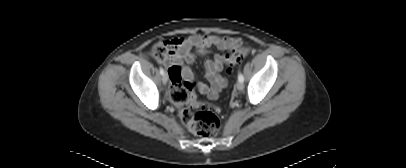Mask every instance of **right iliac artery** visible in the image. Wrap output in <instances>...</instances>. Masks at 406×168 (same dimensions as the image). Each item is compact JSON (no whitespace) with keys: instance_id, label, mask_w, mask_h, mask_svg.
I'll return each mask as SVG.
<instances>
[{"instance_id":"right-iliac-artery-1","label":"right iliac artery","mask_w":406,"mask_h":168,"mask_svg":"<svg viewBox=\"0 0 406 168\" xmlns=\"http://www.w3.org/2000/svg\"><path fill=\"white\" fill-rule=\"evenodd\" d=\"M164 73V69L160 67V74L162 75Z\"/></svg>"}]
</instances>
